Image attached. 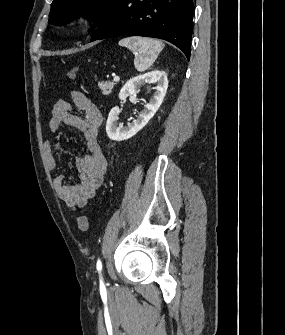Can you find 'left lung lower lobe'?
I'll use <instances>...</instances> for the list:
<instances>
[{"label":"left lung lower lobe","mask_w":285,"mask_h":335,"mask_svg":"<svg viewBox=\"0 0 285 335\" xmlns=\"http://www.w3.org/2000/svg\"><path fill=\"white\" fill-rule=\"evenodd\" d=\"M193 0H117L91 41L120 35L171 42L190 58Z\"/></svg>","instance_id":"obj_1"}]
</instances>
